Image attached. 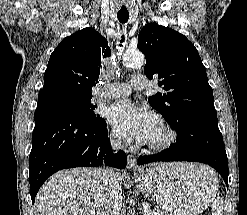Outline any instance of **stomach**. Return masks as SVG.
Returning <instances> with one entry per match:
<instances>
[{
  "label": "stomach",
  "mask_w": 247,
  "mask_h": 215,
  "mask_svg": "<svg viewBox=\"0 0 247 215\" xmlns=\"http://www.w3.org/2000/svg\"><path fill=\"white\" fill-rule=\"evenodd\" d=\"M157 164L138 176L139 187L151 195L166 215L202 213L218 189L215 173L204 165ZM206 175V176H205Z\"/></svg>",
  "instance_id": "0dacf381"
}]
</instances>
